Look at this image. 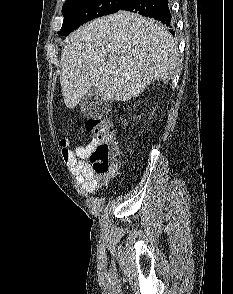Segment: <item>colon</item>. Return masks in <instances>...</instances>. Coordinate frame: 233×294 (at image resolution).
<instances>
[{"instance_id": "5ec220e1", "label": "colon", "mask_w": 233, "mask_h": 294, "mask_svg": "<svg viewBox=\"0 0 233 294\" xmlns=\"http://www.w3.org/2000/svg\"><path fill=\"white\" fill-rule=\"evenodd\" d=\"M85 127L93 137L88 161L98 176L106 178L117 170L119 155V147L112 136L110 124L102 118H88Z\"/></svg>"}]
</instances>
